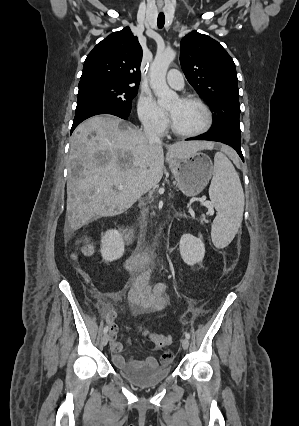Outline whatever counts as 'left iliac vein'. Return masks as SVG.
<instances>
[{
    "instance_id": "obj_1",
    "label": "left iliac vein",
    "mask_w": 299,
    "mask_h": 426,
    "mask_svg": "<svg viewBox=\"0 0 299 426\" xmlns=\"http://www.w3.org/2000/svg\"><path fill=\"white\" fill-rule=\"evenodd\" d=\"M181 344H182L183 349L186 350L189 347V340L187 338H184V339H182Z\"/></svg>"
}]
</instances>
